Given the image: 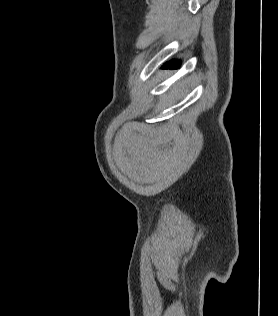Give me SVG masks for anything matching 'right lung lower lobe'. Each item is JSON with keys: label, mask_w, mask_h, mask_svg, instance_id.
<instances>
[{"label": "right lung lower lobe", "mask_w": 278, "mask_h": 316, "mask_svg": "<svg viewBox=\"0 0 278 316\" xmlns=\"http://www.w3.org/2000/svg\"><path fill=\"white\" fill-rule=\"evenodd\" d=\"M179 62H176V61H171V62H169L168 64H166L165 66H164V68H177V67H179Z\"/></svg>", "instance_id": "right-lung-lower-lobe-1"}]
</instances>
